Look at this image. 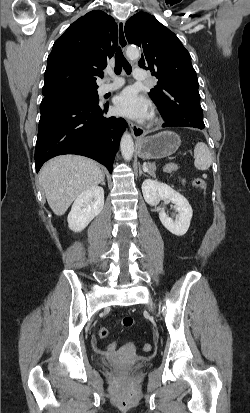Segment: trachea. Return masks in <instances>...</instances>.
Returning <instances> with one entry per match:
<instances>
[{"label": "trachea", "instance_id": "3493384b", "mask_svg": "<svg viewBox=\"0 0 250 413\" xmlns=\"http://www.w3.org/2000/svg\"><path fill=\"white\" fill-rule=\"evenodd\" d=\"M122 68L126 71L128 75L131 74L132 67L124 57L121 48L118 47L115 54V74L119 75L121 73Z\"/></svg>", "mask_w": 250, "mask_h": 413}]
</instances>
